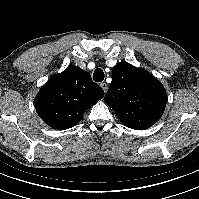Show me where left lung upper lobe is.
<instances>
[{
	"label": "left lung upper lobe",
	"instance_id": "obj_1",
	"mask_svg": "<svg viewBox=\"0 0 199 199\" xmlns=\"http://www.w3.org/2000/svg\"><path fill=\"white\" fill-rule=\"evenodd\" d=\"M104 101L125 126L144 130L162 116L167 95L163 85L149 72L121 62L112 70Z\"/></svg>",
	"mask_w": 199,
	"mask_h": 199
}]
</instances>
